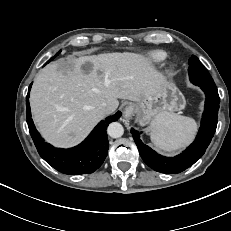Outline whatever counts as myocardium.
<instances>
[{"label": "myocardium", "instance_id": "1", "mask_svg": "<svg viewBox=\"0 0 231 231\" xmlns=\"http://www.w3.org/2000/svg\"><path fill=\"white\" fill-rule=\"evenodd\" d=\"M173 70V66L172 65H169L168 67H167V72H171Z\"/></svg>", "mask_w": 231, "mask_h": 231}]
</instances>
